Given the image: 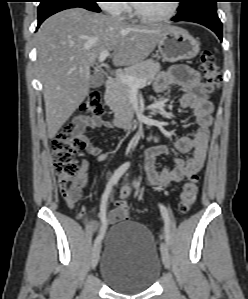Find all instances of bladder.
Listing matches in <instances>:
<instances>
[{
	"mask_svg": "<svg viewBox=\"0 0 248 299\" xmlns=\"http://www.w3.org/2000/svg\"><path fill=\"white\" fill-rule=\"evenodd\" d=\"M161 269L149 230L131 221L110 228L100 260V276L110 288L123 294L145 292L157 281Z\"/></svg>",
	"mask_w": 248,
	"mask_h": 299,
	"instance_id": "bladder-1",
	"label": "bladder"
}]
</instances>
